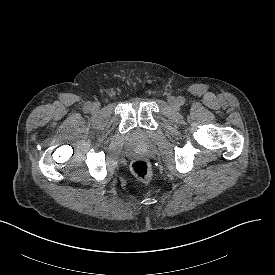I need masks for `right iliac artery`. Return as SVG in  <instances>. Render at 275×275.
<instances>
[{
    "instance_id": "1",
    "label": "right iliac artery",
    "mask_w": 275,
    "mask_h": 275,
    "mask_svg": "<svg viewBox=\"0 0 275 275\" xmlns=\"http://www.w3.org/2000/svg\"><path fill=\"white\" fill-rule=\"evenodd\" d=\"M84 109H85V111H90L91 110V104L90 103L86 104Z\"/></svg>"
}]
</instances>
